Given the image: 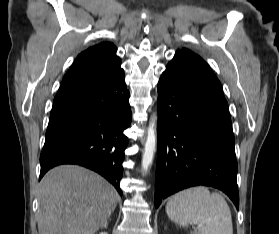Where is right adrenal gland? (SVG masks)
Masks as SVG:
<instances>
[{
  "label": "right adrenal gland",
  "instance_id": "1",
  "mask_svg": "<svg viewBox=\"0 0 279 234\" xmlns=\"http://www.w3.org/2000/svg\"><path fill=\"white\" fill-rule=\"evenodd\" d=\"M104 227H107V222L104 224Z\"/></svg>",
  "mask_w": 279,
  "mask_h": 234
}]
</instances>
